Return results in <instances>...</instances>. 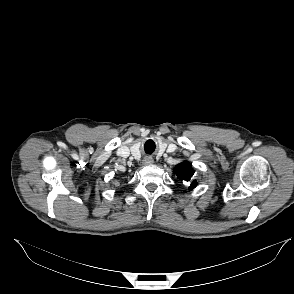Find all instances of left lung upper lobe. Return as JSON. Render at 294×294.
Here are the masks:
<instances>
[{"instance_id": "5c2ea615", "label": "left lung upper lobe", "mask_w": 294, "mask_h": 294, "mask_svg": "<svg viewBox=\"0 0 294 294\" xmlns=\"http://www.w3.org/2000/svg\"><path fill=\"white\" fill-rule=\"evenodd\" d=\"M174 172L177 175L178 179L191 182L189 189H193L197 186V181L193 180V175L195 171L188 161H184L176 165V167L174 168Z\"/></svg>"}]
</instances>
